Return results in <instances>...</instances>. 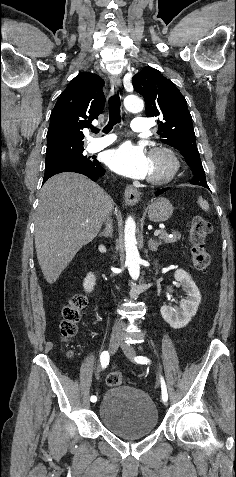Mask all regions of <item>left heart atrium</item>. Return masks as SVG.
<instances>
[{"label": "left heart atrium", "instance_id": "left-heart-atrium-1", "mask_svg": "<svg viewBox=\"0 0 236 477\" xmlns=\"http://www.w3.org/2000/svg\"><path fill=\"white\" fill-rule=\"evenodd\" d=\"M105 162L112 170L126 177L143 179L149 175L150 157L141 145L125 142L109 150Z\"/></svg>", "mask_w": 236, "mask_h": 477}]
</instances>
